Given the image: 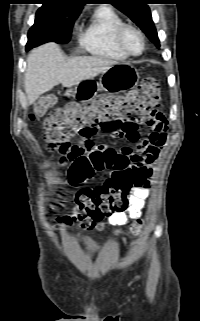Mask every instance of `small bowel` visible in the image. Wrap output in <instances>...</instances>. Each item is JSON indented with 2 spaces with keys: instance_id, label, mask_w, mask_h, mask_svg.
<instances>
[{
  "instance_id": "small-bowel-1",
  "label": "small bowel",
  "mask_w": 200,
  "mask_h": 321,
  "mask_svg": "<svg viewBox=\"0 0 200 321\" xmlns=\"http://www.w3.org/2000/svg\"><path fill=\"white\" fill-rule=\"evenodd\" d=\"M167 124L165 115L155 110L144 118L124 119L116 127L106 130L113 138L124 139L129 143L120 150L110 145L95 143L92 139L93 135H81L79 144L73 146L70 157L79 152L99 151L126 158L141 180L140 185L131 191L126 208L109 215L108 221L111 225L122 226L141 216V211L146 206L150 194L152 165L166 144ZM141 125L151 130L149 136L143 140H140ZM56 220L65 225L72 223L67 216H58Z\"/></svg>"
}]
</instances>
